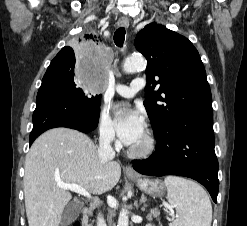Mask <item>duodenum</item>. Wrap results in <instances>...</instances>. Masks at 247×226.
<instances>
[{"instance_id": "duodenum-1", "label": "duodenum", "mask_w": 247, "mask_h": 226, "mask_svg": "<svg viewBox=\"0 0 247 226\" xmlns=\"http://www.w3.org/2000/svg\"><path fill=\"white\" fill-rule=\"evenodd\" d=\"M90 215V209L88 207H84L81 210V216H82V223L83 225H86L88 218Z\"/></svg>"}]
</instances>
